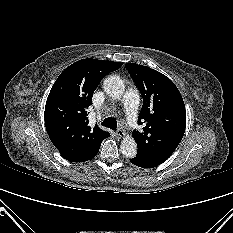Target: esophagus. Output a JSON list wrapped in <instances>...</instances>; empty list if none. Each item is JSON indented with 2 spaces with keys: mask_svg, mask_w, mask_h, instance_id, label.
<instances>
[{
  "mask_svg": "<svg viewBox=\"0 0 233 233\" xmlns=\"http://www.w3.org/2000/svg\"><path fill=\"white\" fill-rule=\"evenodd\" d=\"M116 134H117L118 138H124L126 135L122 128H118L116 131Z\"/></svg>",
  "mask_w": 233,
  "mask_h": 233,
  "instance_id": "34e87169",
  "label": "esophagus"
}]
</instances>
